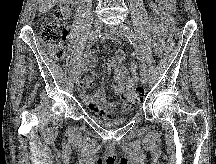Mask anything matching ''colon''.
Here are the masks:
<instances>
[{"label":"colon","instance_id":"obj_1","mask_svg":"<svg viewBox=\"0 0 216 164\" xmlns=\"http://www.w3.org/2000/svg\"><path fill=\"white\" fill-rule=\"evenodd\" d=\"M72 0H61L54 11V19L47 22L42 30V41L47 44L50 55L56 60H62L65 55V42L68 34V20L72 10ZM169 47L172 48L180 40V30L176 19L170 21ZM142 87H136L125 96L131 104H139L144 100Z\"/></svg>","mask_w":216,"mask_h":164}]
</instances>
